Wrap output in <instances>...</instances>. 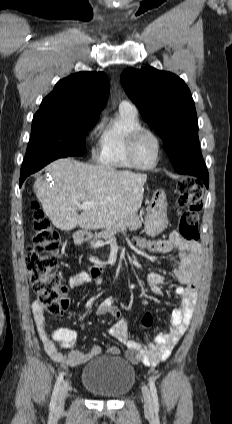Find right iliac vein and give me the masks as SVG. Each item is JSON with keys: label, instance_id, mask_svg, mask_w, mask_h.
Returning a JSON list of instances; mask_svg holds the SVG:
<instances>
[{"label": "right iliac vein", "instance_id": "63e3f726", "mask_svg": "<svg viewBox=\"0 0 232 424\" xmlns=\"http://www.w3.org/2000/svg\"><path fill=\"white\" fill-rule=\"evenodd\" d=\"M69 391V382L65 381L59 391L58 399H57V405H56V411L61 412L64 409L65 400L67 397Z\"/></svg>", "mask_w": 232, "mask_h": 424}]
</instances>
